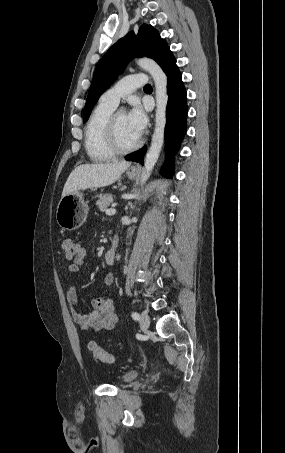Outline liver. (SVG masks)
Here are the masks:
<instances>
[{"mask_svg":"<svg viewBox=\"0 0 285 453\" xmlns=\"http://www.w3.org/2000/svg\"><path fill=\"white\" fill-rule=\"evenodd\" d=\"M130 166V162L83 164L76 167L69 175L62 192V197L88 188H99L113 184Z\"/></svg>","mask_w":285,"mask_h":453,"instance_id":"liver-1","label":"liver"}]
</instances>
